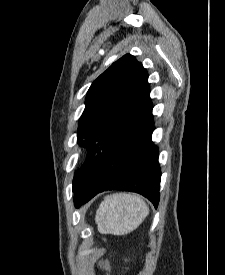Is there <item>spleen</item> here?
<instances>
[{
	"label": "spleen",
	"instance_id": "obj_1",
	"mask_svg": "<svg viewBox=\"0 0 225 275\" xmlns=\"http://www.w3.org/2000/svg\"><path fill=\"white\" fill-rule=\"evenodd\" d=\"M149 214L146 203L136 195H108L96 211L95 221L101 234L126 235L135 230Z\"/></svg>",
	"mask_w": 225,
	"mask_h": 275
}]
</instances>
